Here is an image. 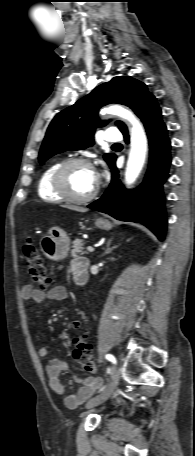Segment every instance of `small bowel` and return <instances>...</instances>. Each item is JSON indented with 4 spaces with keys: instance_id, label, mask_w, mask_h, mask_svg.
<instances>
[{
    "instance_id": "c3829d8e",
    "label": "small bowel",
    "mask_w": 195,
    "mask_h": 456,
    "mask_svg": "<svg viewBox=\"0 0 195 456\" xmlns=\"http://www.w3.org/2000/svg\"><path fill=\"white\" fill-rule=\"evenodd\" d=\"M82 258H77L72 261L70 271L74 272L76 265ZM22 296L25 300L33 301L34 303H43L45 301H64L68 297V291L64 286H55L49 291L45 292L40 289L33 288L29 285L24 286L22 289ZM40 357L48 356V349L41 347L38 351ZM68 370V364L59 359L51 358L46 365L45 371L49 379L50 389L60 396H65V387L60 379V374ZM75 379L82 384L78 391L69 396H65V405L69 408H75L83 403L93 392L102 384L100 378L86 377L81 378L76 376Z\"/></svg>"
}]
</instances>
